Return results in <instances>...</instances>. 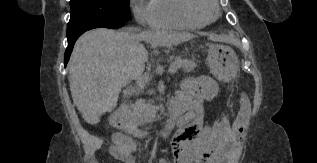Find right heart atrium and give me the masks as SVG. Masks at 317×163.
<instances>
[{"label": "right heart atrium", "instance_id": "d8ad5b80", "mask_svg": "<svg viewBox=\"0 0 317 163\" xmlns=\"http://www.w3.org/2000/svg\"><path fill=\"white\" fill-rule=\"evenodd\" d=\"M136 22L142 26L151 25L153 16L152 0H128Z\"/></svg>", "mask_w": 317, "mask_h": 163}]
</instances>
